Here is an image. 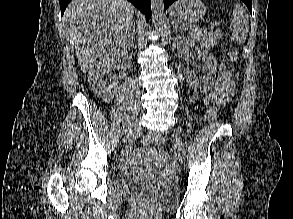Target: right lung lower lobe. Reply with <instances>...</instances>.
<instances>
[{
	"instance_id": "obj_1",
	"label": "right lung lower lobe",
	"mask_w": 293,
	"mask_h": 219,
	"mask_svg": "<svg viewBox=\"0 0 293 219\" xmlns=\"http://www.w3.org/2000/svg\"><path fill=\"white\" fill-rule=\"evenodd\" d=\"M71 0H59L61 14L63 15L67 4ZM130 1L135 7H137L146 17V21L151 17V2L150 0H128Z\"/></svg>"
}]
</instances>
